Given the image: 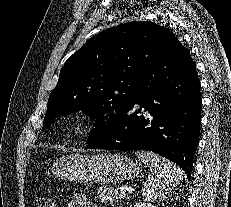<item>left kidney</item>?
<instances>
[{
  "instance_id": "obj_1",
  "label": "left kidney",
  "mask_w": 231,
  "mask_h": 207,
  "mask_svg": "<svg viewBox=\"0 0 231 207\" xmlns=\"http://www.w3.org/2000/svg\"><path fill=\"white\" fill-rule=\"evenodd\" d=\"M131 207H155V206L147 202H138V203L133 204Z\"/></svg>"
}]
</instances>
